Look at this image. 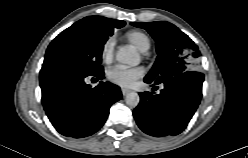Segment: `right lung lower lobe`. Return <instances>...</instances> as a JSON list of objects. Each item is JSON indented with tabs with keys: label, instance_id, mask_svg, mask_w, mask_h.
<instances>
[{
	"label": "right lung lower lobe",
	"instance_id": "obj_1",
	"mask_svg": "<svg viewBox=\"0 0 248 158\" xmlns=\"http://www.w3.org/2000/svg\"><path fill=\"white\" fill-rule=\"evenodd\" d=\"M87 76L103 79L104 71L93 74L62 68L40 71L44 109L52 125L64 136L82 138L94 134L105 123L110 106L122 98L118 86L101 81L91 88L85 83Z\"/></svg>",
	"mask_w": 248,
	"mask_h": 158
}]
</instances>
